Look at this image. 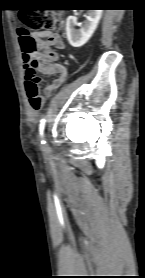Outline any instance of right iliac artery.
<instances>
[{"label":"right iliac artery","mask_w":145,"mask_h":278,"mask_svg":"<svg viewBox=\"0 0 145 278\" xmlns=\"http://www.w3.org/2000/svg\"><path fill=\"white\" fill-rule=\"evenodd\" d=\"M44 126H45V120L42 119L41 122H40V125H39V131H40V134H41V135H43ZM42 143L44 144L45 141H42Z\"/></svg>","instance_id":"right-iliac-artery-1"}]
</instances>
